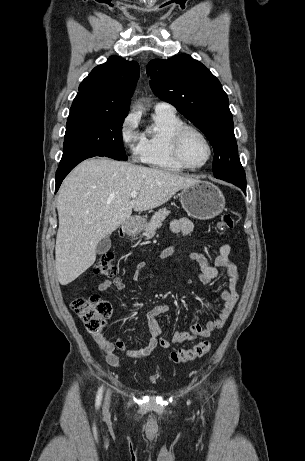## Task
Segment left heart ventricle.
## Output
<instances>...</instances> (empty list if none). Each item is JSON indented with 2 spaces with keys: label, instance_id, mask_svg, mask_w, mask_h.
<instances>
[{
  "label": "left heart ventricle",
  "instance_id": "left-heart-ventricle-1",
  "mask_svg": "<svg viewBox=\"0 0 305 461\" xmlns=\"http://www.w3.org/2000/svg\"><path fill=\"white\" fill-rule=\"evenodd\" d=\"M182 154L188 164L198 166L206 160L208 150L199 136L187 133L182 142Z\"/></svg>",
  "mask_w": 305,
  "mask_h": 461
}]
</instances>
